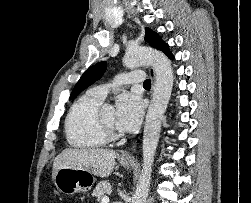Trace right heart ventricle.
I'll return each mask as SVG.
<instances>
[{
  "instance_id": "e07e8e85",
  "label": "right heart ventricle",
  "mask_w": 251,
  "mask_h": 203,
  "mask_svg": "<svg viewBox=\"0 0 251 203\" xmlns=\"http://www.w3.org/2000/svg\"><path fill=\"white\" fill-rule=\"evenodd\" d=\"M102 102L103 100L87 92L72 104L65 119V133L69 145L89 150L106 144L107 140L98 125Z\"/></svg>"
}]
</instances>
